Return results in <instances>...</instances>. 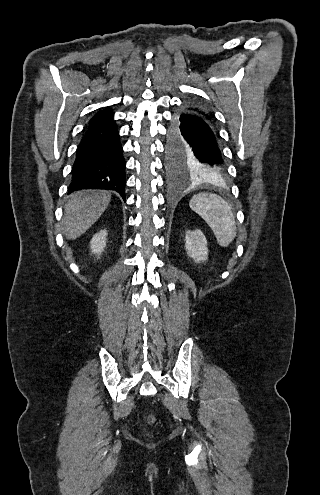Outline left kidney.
<instances>
[{
  "instance_id": "left-kidney-1",
  "label": "left kidney",
  "mask_w": 320,
  "mask_h": 495,
  "mask_svg": "<svg viewBox=\"0 0 320 495\" xmlns=\"http://www.w3.org/2000/svg\"><path fill=\"white\" fill-rule=\"evenodd\" d=\"M185 248L188 256L197 263L208 259L207 240L200 230L187 232Z\"/></svg>"
}]
</instances>
